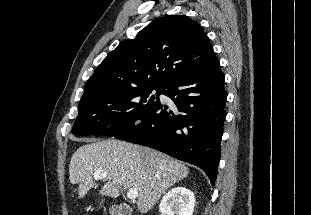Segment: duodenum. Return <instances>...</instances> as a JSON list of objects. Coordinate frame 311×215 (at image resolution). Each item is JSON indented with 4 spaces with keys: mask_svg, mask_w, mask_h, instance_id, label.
I'll list each match as a JSON object with an SVG mask.
<instances>
[{
    "mask_svg": "<svg viewBox=\"0 0 311 215\" xmlns=\"http://www.w3.org/2000/svg\"><path fill=\"white\" fill-rule=\"evenodd\" d=\"M115 215H132V213L129 206L121 204L116 207Z\"/></svg>",
    "mask_w": 311,
    "mask_h": 215,
    "instance_id": "410a0bca",
    "label": "duodenum"
}]
</instances>
